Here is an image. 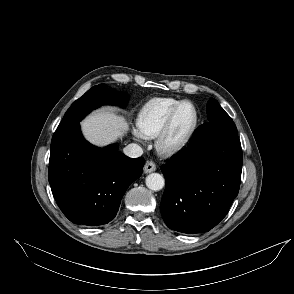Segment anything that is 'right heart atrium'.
<instances>
[{"label": "right heart atrium", "instance_id": "obj_1", "mask_svg": "<svg viewBox=\"0 0 294 294\" xmlns=\"http://www.w3.org/2000/svg\"><path fill=\"white\" fill-rule=\"evenodd\" d=\"M135 135L138 137V138H140V134H139V132H135Z\"/></svg>", "mask_w": 294, "mask_h": 294}]
</instances>
